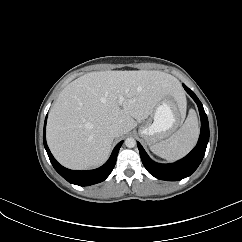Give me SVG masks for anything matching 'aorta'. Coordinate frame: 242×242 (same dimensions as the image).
<instances>
[{"instance_id": "obj_1", "label": "aorta", "mask_w": 242, "mask_h": 242, "mask_svg": "<svg viewBox=\"0 0 242 242\" xmlns=\"http://www.w3.org/2000/svg\"><path fill=\"white\" fill-rule=\"evenodd\" d=\"M125 145L128 148H133L136 145V140L132 137H129L125 140Z\"/></svg>"}]
</instances>
